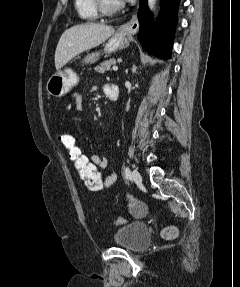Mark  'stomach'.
<instances>
[{"label":"stomach","instance_id":"0dacf381","mask_svg":"<svg viewBox=\"0 0 240 287\" xmlns=\"http://www.w3.org/2000/svg\"><path fill=\"white\" fill-rule=\"evenodd\" d=\"M130 35L121 31L116 32L105 44L104 52L110 54L119 49H123L129 46ZM98 52L87 55L85 58L86 63H92L99 57ZM79 77L75 71L70 68L65 70H59L53 74L46 85L47 92L54 97H61L68 93L69 90L77 85Z\"/></svg>","mask_w":240,"mask_h":287}]
</instances>
